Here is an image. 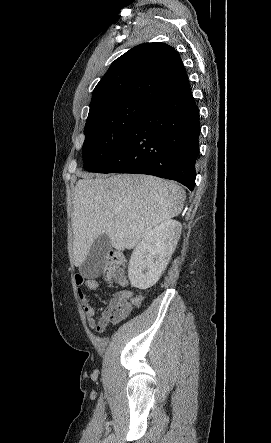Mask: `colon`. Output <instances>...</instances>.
I'll list each match as a JSON object with an SVG mask.
<instances>
[{"instance_id":"5ec220e1","label":"colon","mask_w":271,"mask_h":443,"mask_svg":"<svg viewBox=\"0 0 271 443\" xmlns=\"http://www.w3.org/2000/svg\"><path fill=\"white\" fill-rule=\"evenodd\" d=\"M124 263L125 256L122 252L111 251L106 258L103 270L106 280L124 284L126 282L123 270Z\"/></svg>"}]
</instances>
